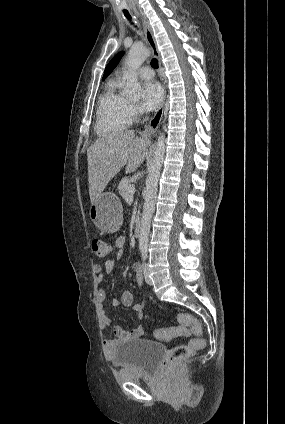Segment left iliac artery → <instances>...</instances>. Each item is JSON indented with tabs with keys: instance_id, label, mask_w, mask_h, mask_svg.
<instances>
[{
	"instance_id": "1",
	"label": "left iliac artery",
	"mask_w": 285,
	"mask_h": 424,
	"mask_svg": "<svg viewBox=\"0 0 285 424\" xmlns=\"http://www.w3.org/2000/svg\"><path fill=\"white\" fill-rule=\"evenodd\" d=\"M142 257H143V260L146 259V257H147V250L146 249H142ZM140 272H142V270H140Z\"/></svg>"
}]
</instances>
